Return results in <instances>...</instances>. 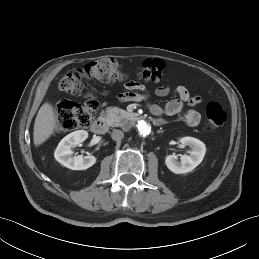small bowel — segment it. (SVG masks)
<instances>
[{"label":"small bowel","mask_w":259,"mask_h":259,"mask_svg":"<svg viewBox=\"0 0 259 259\" xmlns=\"http://www.w3.org/2000/svg\"><path fill=\"white\" fill-rule=\"evenodd\" d=\"M143 86L136 82H128L124 86V91L118 96L122 102L128 101H146L147 96L143 92ZM169 87L161 86L155 91L157 96L163 97L169 94ZM177 98L166 103L164 108L155 103H148V109L154 116H160L165 113L168 116L181 115L184 123L190 127H195L200 123L201 116L193 106L201 102L199 96H191L184 86H177L174 90ZM189 108H185V106Z\"/></svg>","instance_id":"obj_1"}]
</instances>
